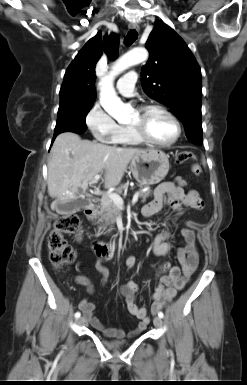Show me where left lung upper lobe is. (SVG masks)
<instances>
[{
	"instance_id": "1",
	"label": "left lung upper lobe",
	"mask_w": 247,
	"mask_h": 385,
	"mask_svg": "<svg viewBox=\"0 0 247 385\" xmlns=\"http://www.w3.org/2000/svg\"><path fill=\"white\" fill-rule=\"evenodd\" d=\"M145 46L150 58L141 69L144 92L171 109L187 138L202 137L201 70L192 52L162 21L155 22Z\"/></svg>"
}]
</instances>
